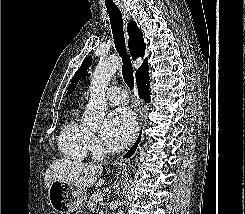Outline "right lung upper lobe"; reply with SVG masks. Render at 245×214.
<instances>
[{
	"mask_svg": "<svg viewBox=\"0 0 245 214\" xmlns=\"http://www.w3.org/2000/svg\"><path fill=\"white\" fill-rule=\"evenodd\" d=\"M127 30L129 35L128 47L133 60H135L140 56L143 57L144 50H145V43L143 40V34L141 30L137 27L134 21L129 22ZM147 72H148V59L145 58L141 67L136 71V80Z\"/></svg>",
	"mask_w": 245,
	"mask_h": 214,
	"instance_id": "right-lung-upper-lobe-1",
	"label": "right lung upper lobe"
}]
</instances>
